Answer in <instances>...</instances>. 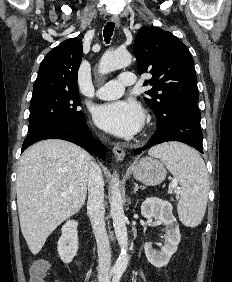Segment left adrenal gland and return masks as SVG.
Here are the masks:
<instances>
[{
  "label": "left adrenal gland",
  "instance_id": "obj_1",
  "mask_svg": "<svg viewBox=\"0 0 232 282\" xmlns=\"http://www.w3.org/2000/svg\"><path fill=\"white\" fill-rule=\"evenodd\" d=\"M138 189H144L143 186H138L137 183H134V190H133V193H136L138 191Z\"/></svg>",
  "mask_w": 232,
  "mask_h": 282
}]
</instances>
